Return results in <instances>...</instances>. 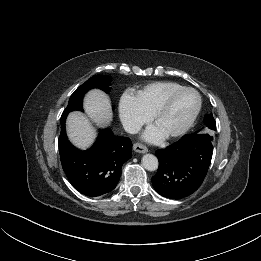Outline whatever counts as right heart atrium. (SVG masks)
I'll list each match as a JSON object with an SVG mask.
<instances>
[{"mask_svg":"<svg viewBox=\"0 0 261 261\" xmlns=\"http://www.w3.org/2000/svg\"><path fill=\"white\" fill-rule=\"evenodd\" d=\"M119 117L128 132L138 131L149 117L140 109L135 96L126 93L119 102Z\"/></svg>","mask_w":261,"mask_h":261,"instance_id":"obj_1","label":"right heart atrium"}]
</instances>
